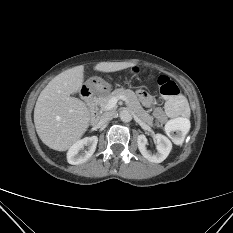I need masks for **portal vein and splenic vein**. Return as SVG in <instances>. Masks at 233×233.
Segmentation results:
<instances>
[{"instance_id":"portal-vein-and-splenic-vein-1","label":"portal vein and splenic vein","mask_w":233,"mask_h":233,"mask_svg":"<svg viewBox=\"0 0 233 233\" xmlns=\"http://www.w3.org/2000/svg\"><path fill=\"white\" fill-rule=\"evenodd\" d=\"M118 100H123V101H126V102H127V98H126L125 96H122V95H121V96H118V97H112V98L108 101L107 105L105 106V109H106V110H111V109H113V108L116 106Z\"/></svg>"}]
</instances>
